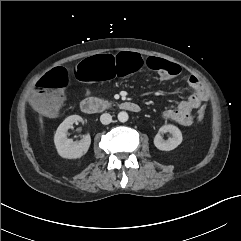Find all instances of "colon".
I'll return each mask as SVG.
<instances>
[{"instance_id": "obj_1", "label": "colon", "mask_w": 241, "mask_h": 241, "mask_svg": "<svg viewBox=\"0 0 241 241\" xmlns=\"http://www.w3.org/2000/svg\"><path fill=\"white\" fill-rule=\"evenodd\" d=\"M145 64L159 72L161 79H174L181 74L179 65L166 59L150 57L144 62L134 51H111L79 60L75 66V75L83 83H94L134 74ZM67 82V73L60 67L43 76L37 82L31 99L33 107L44 114L55 115L62 104ZM205 112V107H201L197 115L199 120L204 119Z\"/></svg>"}]
</instances>
